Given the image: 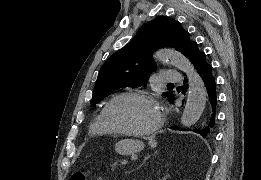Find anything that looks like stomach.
Listing matches in <instances>:
<instances>
[{
  "label": "stomach",
  "instance_id": "1",
  "mask_svg": "<svg viewBox=\"0 0 261 180\" xmlns=\"http://www.w3.org/2000/svg\"><path fill=\"white\" fill-rule=\"evenodd\" d=\"M143 148L141 141L133 139H123L115 144V151L124 156L140 152Z\"/></svg>",
  "mask_w": 261,
  "mask_h": 180
}]
</instances>
